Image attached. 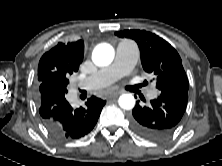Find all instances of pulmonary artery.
<instances>
[{
	"mask_svg": "<svg viewBox=\"0 0 222 166\" xmlns=\"http://www.w3.org/2000/svg\"><path fill=\"white\" fill-rule=\"evenodd\" d=\"M138 58L136 46L130 41H122L117 46L116 57L112 65L99 70L80 82V87L87 90H95L111 85L118 78L126 75L134 66ZM158 95L155 87H151L147 93L148 98L154 99Z\"/></svg>",
	"mask_w": 222,
	"mask_h": 166,
	"instance_id": "e3ab8cb5",
	"label": "pulmonary artery"
}]
</instances>
